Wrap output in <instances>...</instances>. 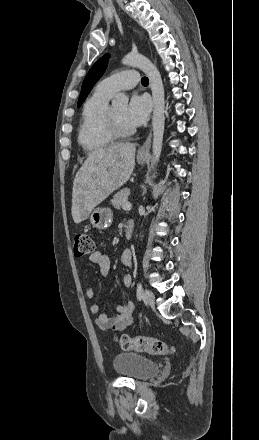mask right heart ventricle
I'll use <instances>...</instances> for the list:
<instances>
[{"label": "right heart ventricle", "instance_id": "1", "mask_svg": "<svg viewBox=\"0 0 259 440\" xmlns=\"http://www.w3.org/2000/svg\"><path fill=\"white\" fill-rule=\"evenodd\" d=\"M111 95L96 88L82 107L77 138L80 146L88 153L101 151L115 140L107 125Z\"/></svg>", "mask_w": 259, "mask_h": 440}]
</instances>
